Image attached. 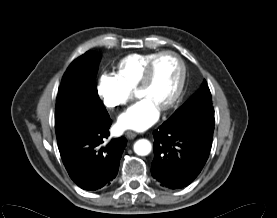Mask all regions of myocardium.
<instances>
[{"instance_id":"obj_1","label":"myocardium","mask_w":277,"mask_h":218,"mask_svg":"<svg viewBox=\"0 0 277 218\" xmlns=\"http://www.w3.org/2000/svg\"><path fill=\"white\" fill-rule=\"evenodd\" d=\"M164 56H172L180 66V80L178 86L171 98L161 107L162 110H167L171 108L180 99L185 88L187 79V67L185 61L178 53L169 50L157 53L148 63L144 75L137 86V92L150 84L153 77L155 65L157 61Z\"/></svg>"}]
</instances>
